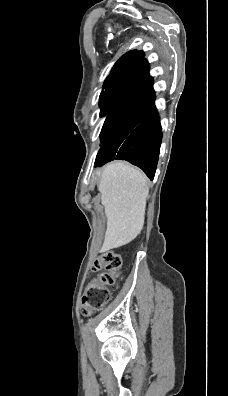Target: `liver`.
<instances>
[{
	"label": "liver",
	"instance_id": "6515ba94",
	"mask_svg": "<svg viewBox=\"0 0 228 396\" xmlns=\"http://www.w3.org/2000/svg\"><path fill=\"white\" fill-rule=\"evenodd\" d=\"M107 228L101 251L134 240L144 226L149 188L146 176L125 162H113L103 171L98 185Z\"/></svg>",
	"mask_w": 228,
	"mask_h": 396
}]
</instances>
